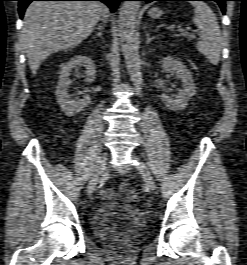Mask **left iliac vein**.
<instances>
[{
  "mask_svg": "<svg viewBox=\"0 0 247 265\" xmlns=\"http://www.w3.org/2000/svg\"><path fill=\"white\" fill-rule=\"evenodd\" d=\"M135 158L138 159L136 156ZM137 170L143 176L146 185L152 190L155 189V182L148 167L143 162H139V165H137Z\"/></svg>",
  "mask_w": 247,
  "mask_h": 265,
  "instance_id": "1",
  "label": "left iliac vein"
}]
</instances>
